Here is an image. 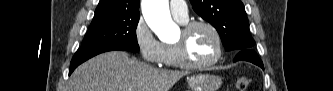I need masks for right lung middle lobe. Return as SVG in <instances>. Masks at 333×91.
<instances>
[{
    "label": "right lung middle lobe",
    "mask_w": 333,
    "mask_h": 91,
    "mask_svg": "<svg viewBox=\"0 0 333 91\" xmlns=\"http://www.w3.org/2000/svg\"><path fill=\"white\" fill-rule=\"evenodd\" d=\"M140 14L108 15L93 18L81 48L119 47L138 52L136 28Z\"/></svg>",
    "instance_id": "1"
}]
</instances>
